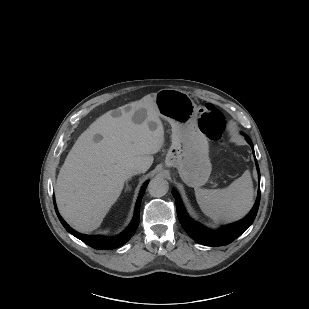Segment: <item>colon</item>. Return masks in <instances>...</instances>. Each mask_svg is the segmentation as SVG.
Masks as SVG:
<instances>
[{
    "label": "colon",
    "instance_id": "5ec220e1",
    "mask_svg": "<svg viewBox=\"0 0 309 309\" xmlns=\"http://www.w3.org/2000/svg\"><path fill=\"white\" fill-rule=\"evenodd\" d=\"M198 127L211 139L224 141V116L214 105L205 103L200 106Z\"/></svg>",
    "mask_w": 309,
    "mask_h": 309
}]
</instances>
